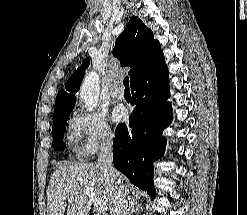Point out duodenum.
<instances>
[{
  "label": "duodenum",
  "mask_w": 247,
  "mask_h": 215,
  "mask_svg": "<svg viewBox=\"0 0 247 215\" xmlns=\"http://www.w3.org/2000/svg\"><path fill=\"white\" fill-rule=\"evenodd\" d=\"M88 215H97V214H95V213H90V214H88Z\"/></svg>",
  "instance_id": "obj_1"
}]
</instances>
